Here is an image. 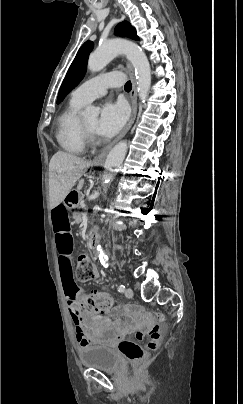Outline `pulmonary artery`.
<instances>
[{"label":"pulmonary artery","instance_id":"obj_1","mask_svg":"<svg viewBox=\"0 0 243 404\" xmlns=\"http://www.w3.org/2000/svg\"><path fill=\"white\" fill-rule=\"evenodd\" d=\"M123 80L115 73H101L82 82L76 91L78 96L86 103L105 95L108 88L118 87Z\"/></svg>","mask_w":243,"mask_h":404}]
</instances>
